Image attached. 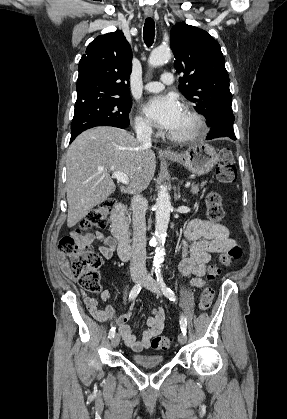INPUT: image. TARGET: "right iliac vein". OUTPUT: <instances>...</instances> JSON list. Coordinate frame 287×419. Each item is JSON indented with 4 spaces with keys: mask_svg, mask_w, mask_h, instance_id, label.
Returning <instances> with one entry per match:
<instances>
[{
    "mask_svg": "<svg viewBox=\"0 0 287 419\" xmlns=\"http://www.w3.org/2000/svg\"><path fill=\"white\" fill-rule=\"evenodd\" d=\"M134 283H139L141 281V277L140 276H134L132 278ZM120 342V335L119 334H115L114 337L111 340V344L113 347H117L118 344Z\"/></svg>",
    "mask_w": 287,
    "mask_h": 419,
    "instance_id": "1",
    "label": "right iliac vein"
}]
</instances>
